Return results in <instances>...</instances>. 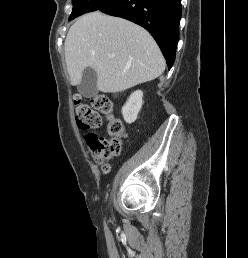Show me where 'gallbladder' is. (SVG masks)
Here are the masks:
<instances>
[{
  "mask_svg": "<svg viewBox=\"0 0 248 258\" xmlns=\"http://www.w3.org/2000/svg\"><path fill=\"white\" fill-rule=\"evenodd\" d=\"M78 89L86 98L95 95L97 91V73L93 68L87 67L84 69Z\"/></svg>",
  "mask_w": 248,
  "mask_h": 258,
  "instance_id": "1",
  "label": "gallbladder"
}]
</instances>
